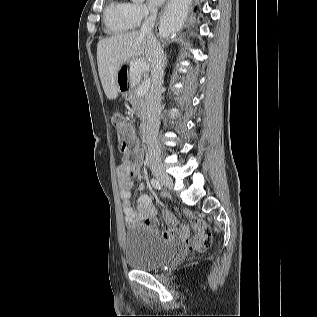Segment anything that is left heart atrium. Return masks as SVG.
<instances>
[{"mask_svg":"<svg viewBox=\"0 0 317 317\" xmlns=\"http://www.w3.org/2000/svg\"><path fill=\"white\" fill-rule=\"evenodd\" d=\"M164 0H150V2L154 5H160L163 3Z\"/></svg>","mask_w":317,"mask_h":317,"instance_id":"obj_1","label":"left heart atrium"}]
</instances>
